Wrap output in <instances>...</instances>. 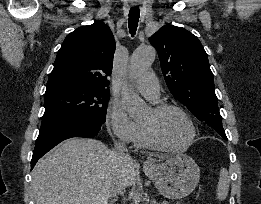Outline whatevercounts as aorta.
I'll use <instances>...</instances> for the list:
<instances>
[{"label": "aorta", "mask_w": 261, "mask_h": 204, "mask_svg": "<svg viewBox=\"0 0 261 204\" xmlns=\"http://www.w3.org/2000/svg\"><path fill=\"white\" fill-rule=\"evenodd\" d=\"M155 59V50L151 46L137 48L129 62V71L133 78L145 73L152 65ZM122 100L126 112L131 118L137 119L143 117L146 113V103L138 94L131 88L126 87L122 92ZM132 204H138L134 199Z\"/></svg>", "instance_id": "1"}]
</instances>
